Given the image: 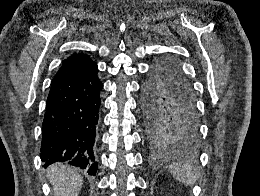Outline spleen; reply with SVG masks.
Instances as JSON below:
<instances>
[{
    "label": "spleen",
    "mask_w": 260,
    "mask_h": 196,
    "mask_svg": "<svg viewBox=\"0 0 260 196\" xmlns=\"http://www.w3.org/2000/svg\"><path fill=\"white\" fill-rule=\"evenodd\" d=\"M169 172L173 178L186 186H193L198 178V172L191 164H170Z\"/></svg>",
    "instance_id": "spleen-1"
}]
</instances>
